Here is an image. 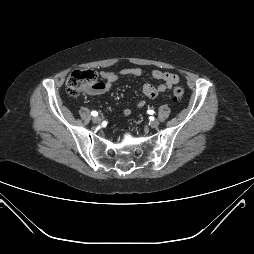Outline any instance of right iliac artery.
Segmentation results:
<instances>
[{
    "instance_id": "obj_1",
    "label": "right iliac artery",
    "mask_w": 254,
    "mask_h": 254,
    "mask_svg": "<svg viewBox=\"0 0 254 254\" xmlns=\"http://www.w3.org/2000/svg\"><path fill=\"white\" fill-rule=\"evenodd\" d=\"M91 114H92V116H97L98 115V113L96 111H92Z\"/></svg>"
}]
</instances>
